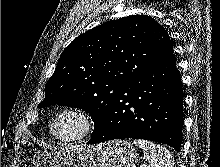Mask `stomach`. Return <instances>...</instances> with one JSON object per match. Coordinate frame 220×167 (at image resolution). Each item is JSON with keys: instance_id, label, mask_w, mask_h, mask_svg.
<instances>
[{"instance_id": "1", "label": "stomach", "mask_w": 220, "mask_h": 167, "mask_svg": "<svg viewBox=\"0 0 220 167\" xmlns=\"http://www.w3.org/2000/svg\"><path fill=\"white\" fill-rule=\"evenodd\" d=\"M137 151L124 140L88 147H67L55 153L37 152L32 167H135Z\"/></svg>"}]
</instances>
